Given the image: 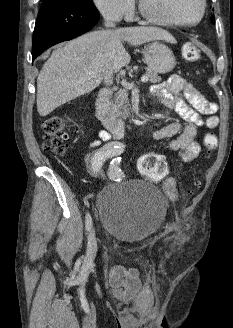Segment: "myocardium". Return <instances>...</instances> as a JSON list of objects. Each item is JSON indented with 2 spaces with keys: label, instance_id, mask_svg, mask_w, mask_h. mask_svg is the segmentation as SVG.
<instances>
[{
  "label": "myocardium",
  "instance_id": "obj_1",
  "mask_svg": "<svg viewBox=\"0 0 233 328\" xmlns=\"http://www.w3.org/2000/svg\"><path fill=\"white\" fill-rule=\"evenodd\" d=\"M200 4H201L200 15L195 21L192 22H183V21H178L175 19L157 15L146 6L144 0H139V10L142 16L152 23L164 25V26H176V27L187 28V27H193L198 25L204 19L206 14V0H200Z\"/></svg>",
  "mask_w": 233,
  "mask_h": 328
}]
</instances>
